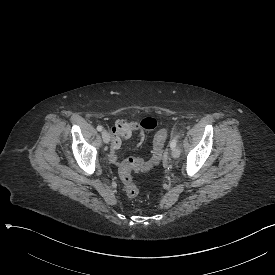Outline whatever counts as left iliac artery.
<instances>
[{"label":"left iliac artery","mask_w":275,"mask_h":275,"mask_svg":"<svg viewBox=\"0 0 275 275\" xmlns=\"http://www.w3.org/2000/svg\"><path fill=\"white\" fill-rule=\"evenodd\" d=\"M178 137H179V136L177 135L175 138H173V139L171 140V142H170V147H171V149H173V148L176 147Z\"/></svg>","instance_id":"1"}]
</instances>
